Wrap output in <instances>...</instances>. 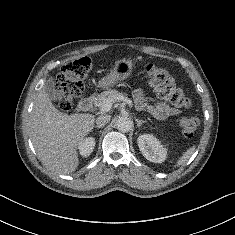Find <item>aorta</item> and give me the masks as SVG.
Instances as JSON below:
<instances>
[{
    "label": "aorta",
    "mask_w": 235,
    "mask_h": 235,
    "mask_svg": "<svg viewBox=\"0 0 235 235\" xmlns=\"http://www.w3.org/2000/svg\"><path fill=\"white\" fill-rule=\"evenodd\" d=\"M117 129L121 132H128L132 127V121L127 117H121L116 122Z\"/></svg>",
    "instance_id": "aorta-1"
}]
</instances>
